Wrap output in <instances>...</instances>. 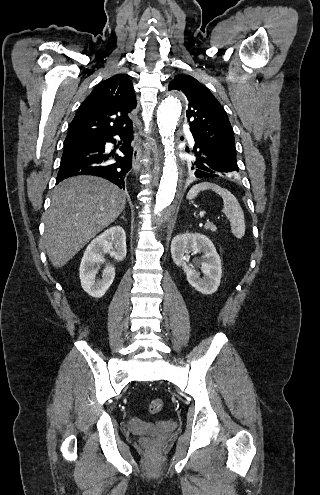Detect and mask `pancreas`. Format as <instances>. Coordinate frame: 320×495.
Returning <instances> with one entry per match:
<instances>
[{
	"label": "pancreas",
	"mask_w": 320,
	"mask_h": 495,
	"mask_svg": "<svg viewBox=\"0 0 320 495\" xmlns=\"http://www.w3.org/2000/svg\"><path fill=\"white\" fill-rule=\"evenodd\" d=\"M204 229H206V230L209 229L212 232H216V230H217L216 226L213 223H210V222L205 224Z\"/></svg>",
	"instance_id": "pancreas-1"
}]
</instances>
